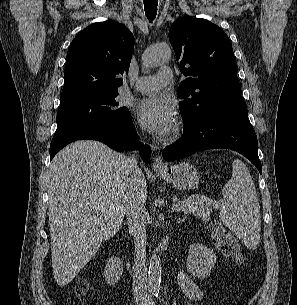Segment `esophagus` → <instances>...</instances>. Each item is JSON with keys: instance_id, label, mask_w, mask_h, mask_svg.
<instances>
[{"instance_id": "esophagus-1", "label": "esophagus", "mask_w": 297, "mask_h": 305, "mask_svg": "<svg viewBox=\"0 0 297 305\" xmlns=\"http://www.w3.org/2000/svg\"><path fill=\"white\" fill-rule=\"evenodd\" d=\"M152 167L155 171H160L165 168V165H164V162H163L161 156L158 155L153 159Z\"/></svg>"}]
</instances>
